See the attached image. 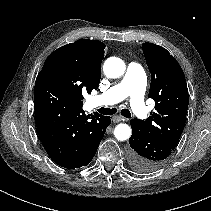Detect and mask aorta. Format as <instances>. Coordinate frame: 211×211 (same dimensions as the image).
I'll list each match as a JSON object with an SVG mask.
<instances>
[{
	"mask_svg": "<svg viewBox=\"0 0 211 211\" xmlns=\"http://www.w3.org/2000/svg\"><path fill=\"white\" fill-rule=\"evenodd\" d=\"M126 70L125 63L122 59L117 57L108 58L103 66L104 74L108 78L121 77ZM114 135L117 140L125 141L131 136V128L129 125L121 123L114 129Z\"/></svg>",
	"mask_w": 211,
	"mask_h": 211,
	"instance_id": "aorta-1",
	"label": "aorta"
}]
</instances>
